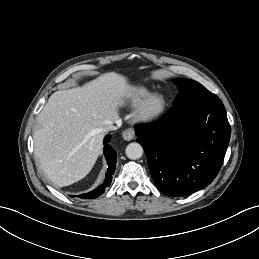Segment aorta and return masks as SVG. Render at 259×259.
<instances>
[{
	"mask_svg": "<svg viewBox=\"0 0 259 259\" xmlns=\"http://www.w3.org/2000/svg\"><path fill=\"white\" fill-rule=\"evenodd\" d=\"M125 152L129 159L136 160L142 157L143 148L139 143L132 142L127 145Z\"/></svg>",
	"mask_w": 259,
	"mask_h": 259,
	"instance_id": "1",
	"label": "aorta"
}]
</instances>
